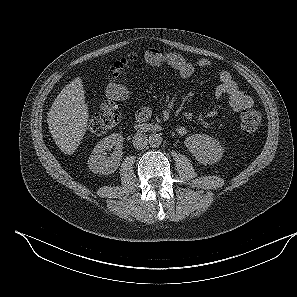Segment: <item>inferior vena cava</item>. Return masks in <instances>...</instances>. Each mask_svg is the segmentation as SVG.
I'll list each match as a JSON object with an SVG mask.
<instances>
[{
  "mask_svg": "<svg viewBox=\"0 0 297 297\" xmlns=\"http://www.w3.org/2000/svg\"><path fill=\"white\" fill-rule=\"evenodd\" d=\"M132 142L136 149H144L148 144V138L143 133H137L134 135Z\"/></svg>",
  "mask_w": 297,
  "mask_h": 297,
  "instance_id": "602c4592",
  "label": "inferior vena cava"
}]
</instances>
